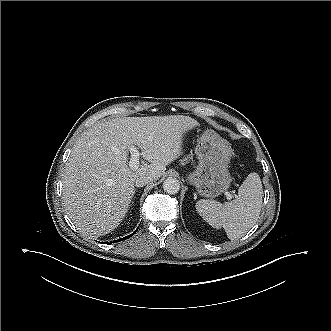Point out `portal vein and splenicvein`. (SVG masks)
Wrapping results in <instances>:
<instances>
[{"label": "portal vein and splenic vein", "instance_id": "obj_1", "mask_svg": "<svg viewBox=\"0 0 331 331\" xmlns=\"http://www.w3.org/2000/svg\"><path fill=\"white\" fill-rule=\"evenodd\" d=\"M130 153H131V159L129 162V167L132 170H136L139 167V156H140V152L136 149V147L132 146L130 148ZM227 199L230 200L232 199V195L228 194L227 195Z\"/></svg>", "mask_w": 331, "mask_h": 331}]
</instances>
